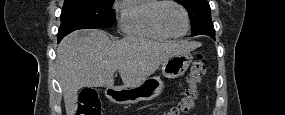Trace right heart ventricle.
Instances as JSON below:
<instances>
[{
	"label": "right heart ventricle",
	"mask_w": 285,
	"mask_h": 115,
	"mask_svg": "<svg viewBox=\"0 0 285 115\" xmlns=\"http://www.w3.org/2000/svg\"><path fill=\"white\" fill-rule=\"evenodd\" d=\"M160 1L130 0L120 6V28L128 36L166 40L170 37L155 22Z\"/></svg>",
	"instance_id": "e07e8e85"
}]
</instances>
